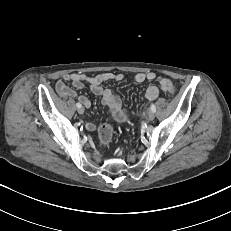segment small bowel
<instances>
[{"mask_svg":"<svg viewBox=\"0 0 231 231\" xmlns=\"http://www.w3.org/2000/svg\"><path fill=\"white\" fill-rule=\"evenodd\" d=\"M124 79L122 73L115 72H104L96 76H88L84 73H70L64 74L56 83V90L58 94L66 98H76L78 99L85 107L90 106V101L86 96L77 95L72 89H70L66 84L70 83L71 86L75 89H82L86 84L90 86L91 91L102 98V103L106 105L112 117L115 121L120 123L128 122V116L123 110L121 100L115 95V93L109 89L103 87L105 82H118ZM157 80L160 84V87L163 91L166 92V87L171 85V81L166 77L157 76L154 72L147 73H137L134 76V81L136 83H143L145 81H154ZM159 95V88L155 85H151L146 89L145 98L147 100H154ZM86 128L90 131L96 129V125L93 123H86Z\"/></svg>","mask_w":231,"mask_h":231,"instance_id":"1","label":"small bowel"}]
</instances>
